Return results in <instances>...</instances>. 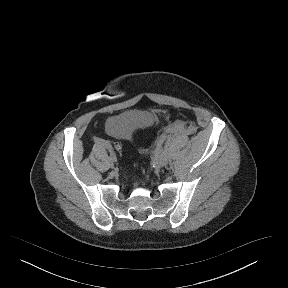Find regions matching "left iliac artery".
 <instances>
[{"label": "left iliac artery", "instance_id": "obj_1", "mask_svg": "<svg viewBox=\"0 0 288 288\" xmlns=\"http://www.w3.org/2000/svg\"><path fill=\"white\" fill-rule=\"evenodd\" d=\"M164 153H165V152H164L163 149H160V150H159V154H160V155H164Z\"/></svg>", "mask_w": 288, "mask_h": 288}]
</instances>
